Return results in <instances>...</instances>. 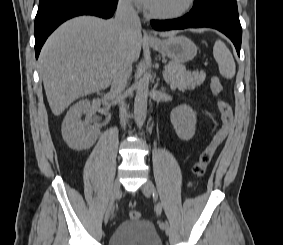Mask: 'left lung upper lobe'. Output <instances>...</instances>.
<instances>
[{
    "label": "left lung upper lobe",
    "mask_w": 283,
    "mask_h": 245,
    "mask_svg": "<svg viewBox=\"0 0 283 245\" xmlns=\"http://www.w3.org/2000/svg\"><path fill=\"white\" fill-rule=\"evenodd\" d=\"M193 13H220L238 17L236 0H195Z\"/></svg>",
    "instance_id": "left-lung-upper-lobe-1"
}]
</instances>
